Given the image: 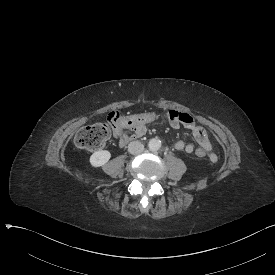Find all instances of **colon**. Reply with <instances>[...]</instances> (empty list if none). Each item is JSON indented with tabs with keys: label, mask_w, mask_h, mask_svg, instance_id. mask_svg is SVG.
<instances>
[{
	"label": "colon",
	"mask_w": 275,
	"mask_h": 275,
	"mask_svg": "<svg viewBox=\"0 0 275 275\" xmlns=\"http://www.w3.org/2000/svg\"><path fill=\"white\" fill-rule=\"evenodd\" d=\"M160 116L154 112H147L143 115L137 114L134 117H122L116 110L111 111L106 119V123L98 122L90 126L83 127L75 136V144L78 148L84 150H98L102 148L112 135L114 125L120 128L132 127L135 124L141 125L145 122L154 123ZM180 123V122H179ZM198 157L206 156L202 148L195 150Z\"/></svg>",
	"instance_id": "colon-1"
}]
</instances>
